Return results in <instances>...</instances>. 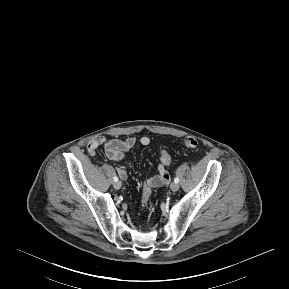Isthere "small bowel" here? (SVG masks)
Instances as JSON below:
<instances>
[{
	"label": "small bowel",
	"mask_w": 289,
	"mask_h": 289,
	"mask_svg": "<svg viewBox=\"0 0 289 289\" xmlns=\"http://www.w3.org/2000/svg\"><path fill=\"white\" fill-rule=\"evenodd\" d=\"M137 143L147 146L150 144V138L143 136L138 140L136 137L130 136L126 139H106L104 136L99 135L89 141L87 148L91 155H95L96 151L100 147H103L108 159L112 161H121L125 158L126 152L133 148ZM156 168L158 174L144 182V186H147L150 189L166 185L171 181V173L167 165L160 163ZM117 173L122 179L125 180L127 178V173L123 168H117Z\"/></svg>",
	"instance_id": "obj_1"
}]
</instances>
